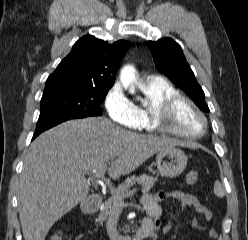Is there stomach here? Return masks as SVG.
<instances>
[{
	"mask_svg": "<svg viewBox=\"0 0 248 240\" xmlns=\"http://www.w3.org/2000/svg\"><path fill=\"white\" fill-rule=\"evenodd\" d=\"M156 165L162 176L176 177L186 168L187 157L182 150L173 147L169 150L158 152Z\"/></svg>",
	"mask_w": 248,
	"mask_h": 240,
	"instance_id": "1",
	"label": "stomach"
}]
</instances>
